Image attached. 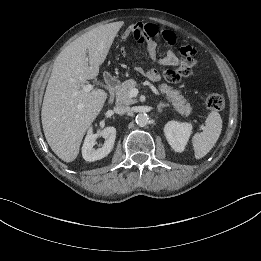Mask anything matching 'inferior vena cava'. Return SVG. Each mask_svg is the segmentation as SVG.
I'll use <instances>...</instances> for the list:
<instances>
[{
    "instance_id": "inferior-vena-cava-1",
    "label": "inferior vena cava",
    "mask_w": 261,
    "mask_h": 261,
    "mask_svg": "<svg viewBox=\"0 0 261 261\" xmlns=\"http://www.w3.org/2000/svg\"><path fill=\"white\" fill-rule=\"evenodd\" d=\"M115 113L117 114H126L130 112V107L128 106H117L114 108Z\"/></svg>"
}]
</instances>
